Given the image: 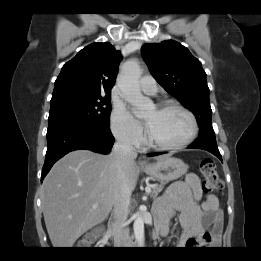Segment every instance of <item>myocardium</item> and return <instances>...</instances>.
<instances>
[{
    "instance_id": "myocardium-1",
    "label": "myocardium",
    "mask_w": 261,
    "mask_h": 261,
    "mask_svg": "<svg viewBox=\"0 0 261 261\" xmlns=\"http://www.w3.org/2000/svg\"><path fill=\"white\" fill-rule=\"evenodd\" d=\"M169 109H176L181 112H183L190 120L191 124V129L189 134L185 139L178 143H173V144H164V143H159L153 139L151 136L149 130L147 129L146 135H147V144L155 149L159 150H178L182 149L186 146H188L197 136L198 133V122L195 117V115L190 111L188 108L185 106L181 105L180 103L173 102V101H166L158 105V110H169Z\"/></svg>"
}]
</instances>
